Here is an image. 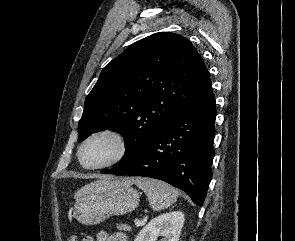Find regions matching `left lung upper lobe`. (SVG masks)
Wrapping results in <instances>:
<instances>
[{
  "mask_svg": "<svg viewBox=\"0 0 295 241\" xmlns=\"http://www.w3.org/2000/svg\"><path fill=\"white\" fill-rule=\"evenodd\" d=\"M211 91L209 72L188 39L170 32L152 34L102 70L85 99L78 141L106 129L120 133L126 152L118 167L175 115Z\"/></svg>",
  "mask_w": 295,
  "mask_h": 241,
  "instance_id": "left-lung-upper-lobe-1",
  "label": "left lung upper lobe"
}]
</instances>
